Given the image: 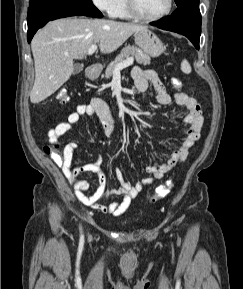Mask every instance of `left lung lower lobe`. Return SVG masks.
<instances>
[{
    "label": "left lung lower lobe",
    "mask_w": 243,
    "mask_h": 289,
    "mask_svg": "<svg viewBox=\"0 0 243 289\" xmlns=\"http://www.w3.org/2000/svg\"><path fill=\"white\" fill-rule=\"evenodd\" d=\"M158 28L185 35L199 49L201 34V14L199 3H187L178 6L168 18L150 23Z\"/></svg>",
    "instance_id": "0a47b994"
}]
</instances>
